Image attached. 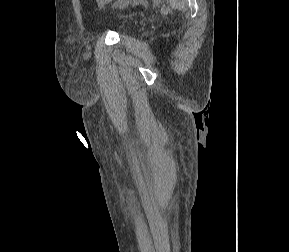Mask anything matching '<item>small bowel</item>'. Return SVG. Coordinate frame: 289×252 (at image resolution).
Wrapping results in <instances>:
<instances>
[{
    "label": "small bowel",
    "instance_id": "c3829d8e",
    "mask_svg": "<svg viewBox=\"0 0 289 252\" xmlns=\"http://www.w3.org/2000/svg\"><path fill=\"white\" fill-rule=\"evenodd\" d=\"M97 7L102 8L108 4H110L113 0H94Z\"/></svg>",
    "mask_w": 289,
    "mask_h": 252
}]
</instances>
